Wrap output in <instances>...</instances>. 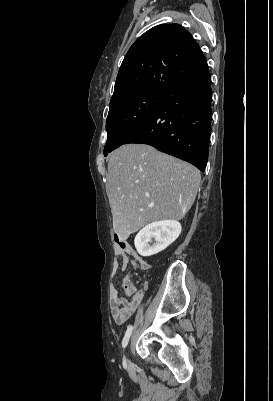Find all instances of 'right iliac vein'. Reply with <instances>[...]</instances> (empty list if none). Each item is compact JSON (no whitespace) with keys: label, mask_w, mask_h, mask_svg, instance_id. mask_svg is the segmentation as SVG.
<instances>
[{"label":"right iliac vein","mask_w":273,"mask_h":401,"mask_svg":"<svg viewBox=\"0 0 273 401\" xmlns=\"http://www.w3.org/2000/svg\"><path fill=\"white\" fill-rule=\"evenodd\" d=\"M127 365H128V368L131 370L132 369V362H131V360H127Z\"/></svg>","instance_id":"1"}]
</instances>
